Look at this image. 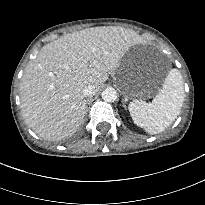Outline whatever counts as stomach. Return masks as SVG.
Here are the masks:
<instances>
[{
    "label": "stomach",
    "instance_id": "0dacf381",
    "mask_svg": "<svg viewBox=\"0 0 205 205\" xmlns=\"http://www.w3.org/2000/svg\"><path fill=\"white\" fill-rule=\"evenodd\" d=\"M113 79L123 93L130 98H147L158 87L143 80L138 62L127 54L113 72Z\"/></svg>",
    "mask_w": 205,
    "mask_h": 205
}]
</instances>
